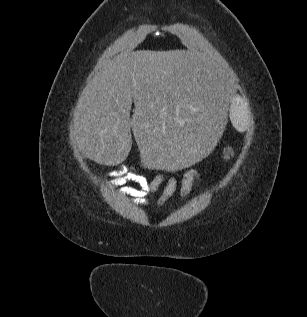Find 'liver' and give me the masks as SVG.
I'll list each match as a JSON object with an SVG mask.
<instances>
[{"mask_svg":"<svg viewBox=\"0 0 307 317\" xmlns=\"http://www.w3.org/2000/svg\"><path fill=\"white\" fill-rule=\"evenodd\" d=\"M216 69L184 50L120 55L83 90L71 141L91 160L116 165L131 149L132 129L138 161L145 163L141 170L154 173V163L163 166L160 173L188 171L205 154H215L214 142L223 139L233 85L229 74Z\"/></svg>","mask_w":307,"mask_h":317,"instance_id":"1","label":"liver"}]
</instances>
